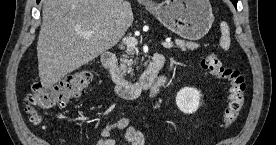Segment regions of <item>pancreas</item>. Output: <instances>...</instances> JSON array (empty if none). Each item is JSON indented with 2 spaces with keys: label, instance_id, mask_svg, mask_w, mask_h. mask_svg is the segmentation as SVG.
<instances>
[{
  "label": "pancreas",
  "instance_id": "1",
  "mask_svg": "<svg viewBox=\"0 0 276 145\" xmlns=\"http://www.w3.org/2000/svg\"><path fill=\"white\" fill-rule=\"evenodd\" d=\"M175 43L177 47L180 48L182 51L195 50L199 47V45L194 42H185L184 40H180V39H176ZM126 52H127V55H123V58L121 59L122 61L121 68L124 71H127V70L130 71L131 66L137 63L136 59L135 60L128 59L129 56L132 57L134 55V47L128 48Z\"/></svg>",
  "mask_w": 276,
  "mask_h": 145
}]
</instances>
